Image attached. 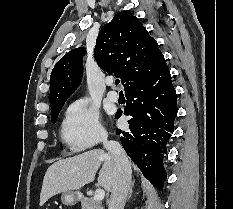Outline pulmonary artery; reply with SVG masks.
I'll return each instance as SVG.
<instances>
[{
    "mask_svg": "<svg viewBox=\"0 0 233 209\" xmlns=\"http://www.w3.org/2000/svg\"><path fill=\"white\" fill-rule=\"evenodd\" d=\"M108 86H113V80H108L107 81ZM107 97L110 101L112 102H117L119 99V95L116 91L111 90L107 93Z\"/></svg>",
    "mask_w": 233,
    "mask_h": 209,
    "instance_id": "1",
    "label": "pulmonary artery"
}]
</instances>
